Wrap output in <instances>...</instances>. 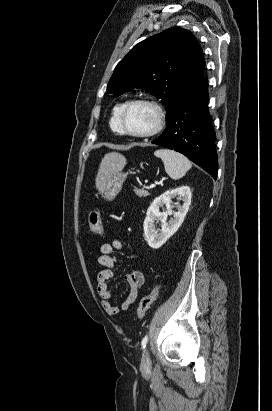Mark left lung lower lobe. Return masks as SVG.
<instances>
[{
	"label": "left lung lower lobe",
	"instance_id": "obj_1",
	"mask_svg": "<svg viewBox=\"0 0 272 411\" xmlns=\"http://www.w3.org/2000/svg\"><path fill=\"white\" fill-rule=\"evenodd\" d=\"M207 90L208 81L179 105L164 132L152 143L184 154L216 179V135L208 110Z\"/></svg>",
	"mask_w": 272,
	"mask_h": 411
}]
</instances>
